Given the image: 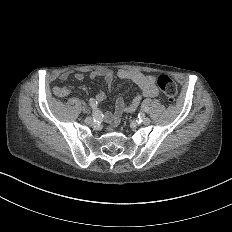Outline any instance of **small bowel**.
Masks as SVG:
<instances>
[{
    "label": "small bowel",
    "mask_w": 232,
    "mask_h": 232,
    "mask_svg": "<svg viewBox=\"0 0 232 232\" xmlns=\"http://www.w3.org/2000/svg\"><path fill=\"white\" fill-rule=\"evenodd\" d=\"M123 80H132L136 82L141 90L142 94L148 97H158L159 92L158 89L155 87V83L157 81V77L155 74L152 73H143L139 70L135 69H119L116 72L112 69H98L94 70L92 72L93 76H101L103 77L107 83L111 84L114 80L115 75ZM70 78H73L76 81H81L83 79V75L79 72H71V71H65L60 74V80L66 81ZM118 88L111 86L110 91L112 93H117ZM71 91V88L68 86H55L52 88V92L54 93H68ZM106 97L104 89H99L97 92V99L98 101H103ZM141 101V95H136L133 97L131 102L128 106H125L124 97L120 96L117 101V107L114 114L109 113L106 115V120L109 123V127L106 128L107 132L114 133L115 132V126L117 125V121L119 120L121 114L126 112H132L135 110Z\"/></svg>",
    "instance_id": "obj_1"
}]
</instances>
